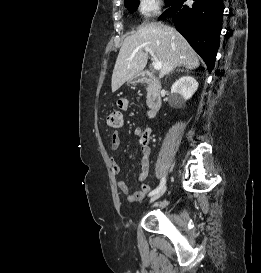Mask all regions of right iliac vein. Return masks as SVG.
I'll list each match as a JSON object with an SVG mask.
<instances>
[{"instance_id": "right-iliac-vein-1", "label": "right iliac vein", "mask_w": 261, "mask_h": 273, "mask_svg": "<svg viewBox=\"0 0 261 273\" xmlns=\"http://www.w3.org/2000/svg\"><path fill=\"white\" fill-rule=\"evenodd\" d=\"M166 186H164L162 189H160L157 193H155L154 195L151 196L149 203H152L154 201H156L157 199H159L166 191Z\"/></svg>"}]
</instances>
